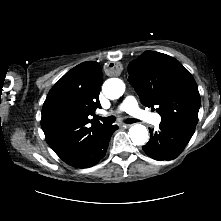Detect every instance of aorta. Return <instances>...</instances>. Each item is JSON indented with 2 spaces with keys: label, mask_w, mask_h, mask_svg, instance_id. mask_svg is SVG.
I'll use <instances>...</instances> for the list:
<instances>
[{
  "label": "aorta",
  "mask_w": 221,
  "mask_h": 221,
  "mask_svg": "<svg viewBox=\"0 0 221 221\" xmlns=\"http://www.w3.org/2000/svg\"><path fill=\"white\" fill-rule=\"evenodd\" d=\"M102 90L107 98L118 99L125 91V84L118 78H110L104 82ZM129 136L135 145H144L149 138L147 128L141 124L130 127Z\"/></svg>",
  "instance_id": "obj_1"
}]
</instances>
